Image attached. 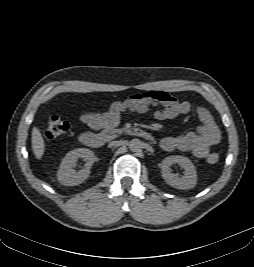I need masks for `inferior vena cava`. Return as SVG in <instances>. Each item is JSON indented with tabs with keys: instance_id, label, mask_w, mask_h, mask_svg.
<instances>
[{
	"instance_id": "1",
	"label": "inferior vena cava",
	"mask_w": 254,
	"mask_h": 267,
	"mask_svg": "<svg viewBox=\"0 0 254 267\" xmlns=\"http://www.w3.org/2000/svg\"><path fill=\"white\" fill-rule=\"evenodd\" d=\"M117 144V141H112L109 143L108 147H113Z\"/></svg>"
}]
</instances>
